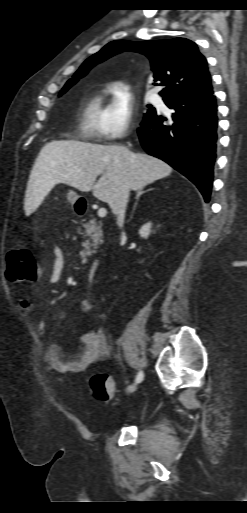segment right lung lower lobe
<instances>
[{"label":"right lung lower lobe","instance_id":"98d812e1","mask_svg":"<svg viewBox=\"0 0 247 513\" xmlns=\"http://www.w3.org/2000/svg\"><path fill=\"white\" fill-rule=\"evenodd\" d=\"M171 118L145 116L137 130L142 147L190 179L209 202L217 147V105L207 97L164 100Z\"/></svg>","mask_w":247,"mask_h":513}]
</instances>
